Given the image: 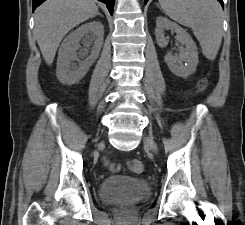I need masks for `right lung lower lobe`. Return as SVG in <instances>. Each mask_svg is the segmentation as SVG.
I'll list each match as a JSON object with an SVG mask.
<instances>
[{"label":"right lung lower lobe","instance_id":"obj_1","mask_svg":"<svg viewBox=\"0 0 245 225\" xmlns=\"http://www.w3.org/2000/svg\"><path fill=\"white\" fill-rule=\"evenodd\" d=\"M44 1L45 0H33V3H32V9H33V11L35 10V8L37 6H39ZM99 1L107 4V7H108L110 13L111 14L113 13V8H114V2H115V0H99Z\"/></svg>","mask_w":245,"mask_h":225}]
</instances>
